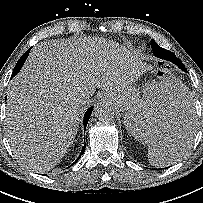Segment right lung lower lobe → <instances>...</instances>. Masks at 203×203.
<instances>
[{"instance_id":"98d812e1","label":"right lung lower lobe","mask_w":203,"mask_h":203,"mask_svg":"<svg viewBox=\"0 0 203 203\" xmlns=\"http://www.w3.org/2000/svg\"><path fill=\"white\" fill-rule=\"evenodd\" d=\"M29 52H30V49H29L28 51H26V52L22 55V57L19 59V61L17 62L16 66H15L16 71H20V69L22 68V66H23V64H24V62H25V60L27 59V57H28V55H29ZM92 110H93V106H91V107L86 111V113H85V115H84V131H85V128H86V126H87V123H88V120H89V118H90V115H91V113H92ZM85 147H86V146H84V147L82 148L81 154L84 152ZM81 154H80V155H81ZM74 163H75V162H74ZM74 163H73V164H74Z\"/></svg>"}]
</instances>
